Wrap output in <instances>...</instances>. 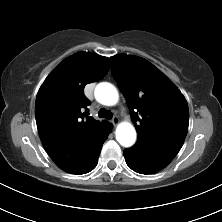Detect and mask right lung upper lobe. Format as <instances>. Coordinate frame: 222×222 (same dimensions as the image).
<instances>
[{"label": "right lung upper lobe", "instance_id": "obj_1", "mask_svg": "<svg viewBox=\"0 0 222 222\" xmlns=\"http://www.w3.org/2000/svg\"><path fill=\"white\" fill-rule=\"evenodd\" d=\"M108 69L107 57L77 52L64 59L38 91L35 103L38 132L59 168L86 158L93 143L112 128L108 122L87 116L90 101L84 95L85 85L102 79Z\"/></svg>", "mask_w": 222, "mask_h": 222}]
</instances>
